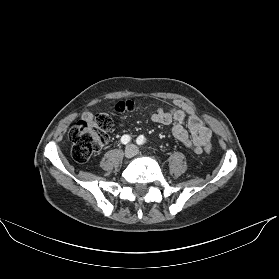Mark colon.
I'll return each instance as SVG.
<instances>
[{"instance_id":"colon-1","label":"colon","mask_w":279,"mask_h":279,"mask_svg":"<svg viewBox=\"0 0 279 279\" xmlns=\"http://www.w3.org/2000/svg\"><path fill=\"white\" fill-rule=\"evenodd\" d=\"M138 103L131 100H122L116 103L118 112L132 111L138 107ZM111 127V118L100 113L92 119L83 118L76 122L69 131V139L72 143V157L78 163H84L90 157L101 150L107 143V131ZM211 143L205 145V152L210 153Z\"/></svg>"}]
</instances>
